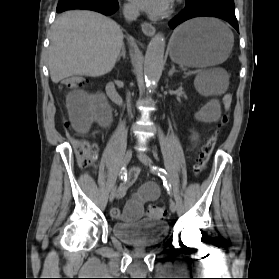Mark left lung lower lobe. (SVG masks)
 <instances>
[{"label":"left lung lower lobe","instance_id":"1","mask_svg":"<svg viewBox=\"0 0 279 279\" xmlns=\"http://www.w3.org/2000/svg\"><path fill=\"white\" fill-rule=\"evenodd\" d=\"M186 7L169 25L175 28L180 23L200 16H211L229 22L239 32L238 22L235 17L234 0H185Z\"/></svg>","mask_w":279,"mask_h":279}]
</instances>
